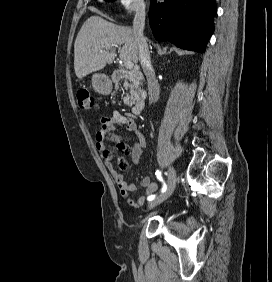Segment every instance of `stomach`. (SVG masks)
I'll use <instances>...</instances> for the list:
<instances>
[{"mask_svg":"<svg viewBox=\"0 0 272 282\" xmlns=\"http://www.w3.org/2000/svg\"><path fill=\"white\" fill-rule=\"evenodd\" d=\"M92 85L100 93H109L111 91V82L104 74H94L92 76Z\"/></svg>","mask_w":272,"mask_h":282,"instance_id":"stomach-1","label":"stomach"}]
</instances>
